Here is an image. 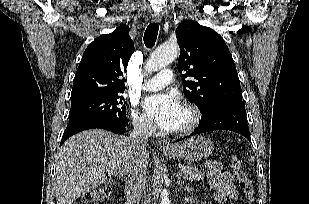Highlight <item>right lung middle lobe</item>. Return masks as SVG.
<instances>
[{"mask_svg": "<svg viewBox=\"0 0 309 204\" xmlns=\"http://www.w3.org/2000/svg\"><path fill=\"white\" fill-rule=\"evenodd\" d=\"M125 100L120 92L110 93L71 104L69 123L84 118H102L127 125Z\"/></svg>", "mask_w": 309, "mask_h": 204, "instance_id": "right-lung-middle-lobe-1", "label": "right lung middle lobe"}]
</instances>
